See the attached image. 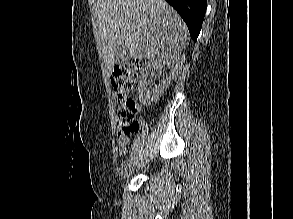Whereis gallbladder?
Segmentation results:
<instances>
[{
	"mask_svg": "<svg viewBox=\"0 0 293 219\" xmlns=\"http://www.w3.org/2000/svg\"><path fill=\"white\" fill-rule=\"evenodd\" d=\"M115 58H116V65L124 66L125 64H127L128 60L130 59V56L124 44H121L117 47Z\"/></svg>",
	"mask_w": 293,
	"mask_h": 219,
	"instance_id": "1",
	"label": "gallbladder"
}]
</instances>
